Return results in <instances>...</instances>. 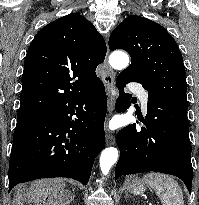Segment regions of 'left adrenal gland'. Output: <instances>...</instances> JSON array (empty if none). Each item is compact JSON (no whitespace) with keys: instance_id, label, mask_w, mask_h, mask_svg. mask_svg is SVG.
Returning a JSON list of instances; mask_svg holds the SVG:
<instances>
[{"instance_id":"a2214340","label":"left adrenal gland","mask_w":199,"mask_h":205,"mask_svg":"<svg viewBox=\"0 0 199 205\" xmlns=\"http://www.w3.org/2000/svg\"><path fill=\"white\" fill-rule=\"evenodd\" d=\"M129 196H130L129 193L126 192V193H125V197L127 198V197H129Z\"/></svg>"}]
</instances>
